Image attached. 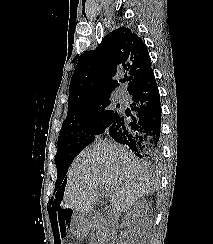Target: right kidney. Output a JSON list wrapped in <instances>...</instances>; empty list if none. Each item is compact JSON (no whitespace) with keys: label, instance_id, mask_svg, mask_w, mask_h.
<instances>
[{"label":"right kidney","instance_id":"ca27d5eb","mask_svg":"<svg viewBox=\"0 0 213 244\" xmlns=\"http://www.w3.org/2000/svg\"><path fill=\"white\" fill-rule=\"evenodd\" d=\"M151 207L150 203L146 199H141L138 202H136L133 205V209H131L126 216V219L131 217V216H136L138 215L139 211L144 209V208H149Z\"/></svg>","mask_w":213,"mask_h":244}]
</instances>
